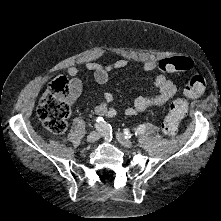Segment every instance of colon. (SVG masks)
<instances>
[{"label": "colon", "instance_id": "1", "mask_svg": "<svg viewBox=\"0 0 221 221\" xmlns=\"http://www.w3.org/2000/svg\"><path fill=\"white\" fill-rule=\"evenodd\" d=\"M193 61L188 57L177 56L158 62L162 72H186L193 68ZM206 88V81L201 75L193 76L184 88L185 99L174 101L169 108L162 132L167 136L177 133L179 124L187 112V99L199 97ZM75 97L71 82L63 76L56 78L40 99L37 113L45 129L53 135L62 134L71 115L70 103Z\"/></svg>", "mask_w": 221, "mask_h": 221}]
</instances>
